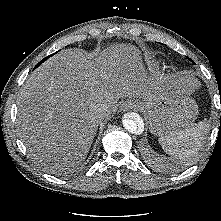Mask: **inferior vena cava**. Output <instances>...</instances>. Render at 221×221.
<instances>
[{"mask_svg":"<svg viewBox=\"0 0 221 221\" xmlns=\"http://www.w3.org/2000/svg\"><path fill=\"white\" fill-rule=\"evenodd\" d=\"M103 110H105V109H103ZM103 115H106V112H103Z\"/></svg>","mask_w":221,"mask_h":221,"instance_id":"602c4592","label":"inferior vena cava"}]
</instances>
